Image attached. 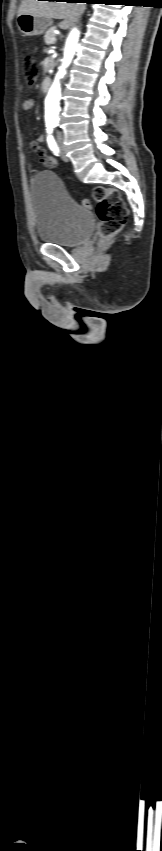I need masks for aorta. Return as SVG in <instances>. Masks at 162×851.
Returning <instances> with one entry per match:
<instances>
[{"label": "aorta", "mask_w": 162, "mask_h": 851, "mask_svg": "<svg viewBox=\"0 0 162 851\" xmlns=\"http://www.w3.org/2000/svg\"><path fill=\"white\" fill-rule=\"evenodd\" d=\"M79 36H80V32H79V30H77L75 28L71 31V33L69 34V36L67 38L62 64L59 67V70H58V72L55 76V79H54V81H53V83H52V85L49 89V92H48L46 100H45V106H46L45 119H46V122H57L58 121V115H59V111H60L59 102H60V98H61V83H60V81L65 76L66 69L70 65V63H71V61L74 57L75 49H76V46H77V43H78V40H79Z\"/></svg>", "instance_id": "762f6f07"}]
</instances>
